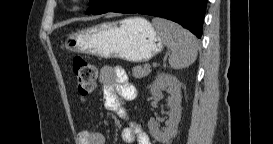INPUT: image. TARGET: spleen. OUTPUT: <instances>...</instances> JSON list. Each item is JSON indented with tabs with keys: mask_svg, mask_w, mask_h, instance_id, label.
Returning a JSON list of instances; mask_svg holds the SVG:
<instances>
[{
	"mask_svg": "<svg viewBox=\"0 0 273 144\" xmlns=\"http://www.w3.org/2000/svg\"><path fill=\"white\" fill-rule=\"evenodd\" d=\"M152 23L164 44L172 52L169 57L171 68L183 69L195 62L197 57V44L192 33L166 19L154 18Z\"/></svg>",
	"mask_w": 273,
	"mask_h": 144,
	"instance_id": "3e777b00",
	"label": "spleen"
}]
</instances>
